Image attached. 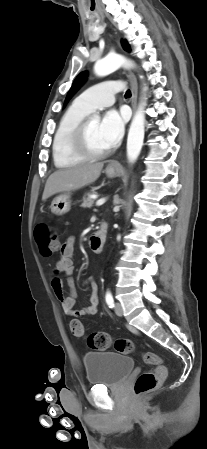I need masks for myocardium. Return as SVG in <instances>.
Wrapping results in <instances>:
<instances>
[{
    "label": "myocardium",
    "mask_w": 207,
    "mask_h": 449,
    "mask_svg": "<svg viewBox=\"0 0 207 449\" xmlns=\"http://www.w3.org/2000/svg\"><path fill=\"white\" fill-rule=\"evenodd\" d=\"M89 122V119H84L75 127L71 136V149L76 155L85 160L101 159L109 154L110 149L95 151L89 146L87 140Z\"/></svg>",
    "instance_id": "obj_1"
}]
</instances>
